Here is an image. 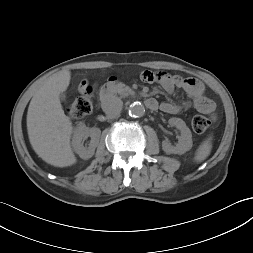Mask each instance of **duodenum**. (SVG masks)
<instances>
[{
	"instance_id": "duodenum-1",
	"label": "duodenum",
	"mask_w": 253,
	"mask_h": 253,
	"mask_svg": "<svg viewBox=\"0 0 253 253\" xmlns=\"http://www.w3.org/2000/svg\"><path fill=\"white\" fill-rule=\"evenodd\" d=\"M117 86V81L115 78L109 80V82L104 86L100 92V98L102 102H105L109 99L112 91ZM146 107L150 110H156L158 108V102L154 98H147L144 101Z\"/></svg>"
}]
</instances>
